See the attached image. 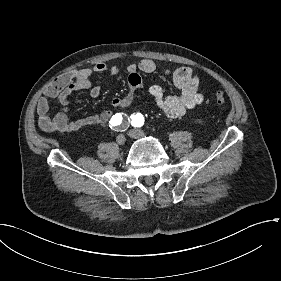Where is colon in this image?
<instances>
[{
  "label": "colon",
  "instance_id": "colon-1",
  "mask_svg": "<svg viewBox=\"0 0 281 281\" xmlns=\"http://www.w3.org/2000/svg\"><path fill=\"white\" fill-rule=\"evenodd\" d=\"M227 98L223 93H217L214 97V101L217 104H224L226 102Z\"/></svg>",
  "mask_w": 281,
  "mask_h": 281
}]
</instances>
